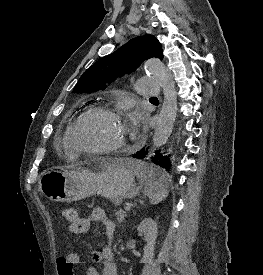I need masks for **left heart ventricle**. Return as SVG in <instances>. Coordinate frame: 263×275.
Segmentation results:
<instances>
[{"label":"left heart ventricle","mask_w":263,"mask_h":275,"mask_svg":"<svg viewBox=\"0 0 263 275\" xmlns=\"http://www.w3.org/2000/svg\"><path fill=\"white\" fill-rule=\"evenodd\" d=\"M129 130L108 115H95L85 120L78 129L77 141L86 148L102 149L128 137Z\"/></svg>","instance_id":"b2bd125f"}]
</instances>
